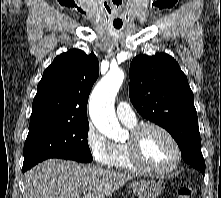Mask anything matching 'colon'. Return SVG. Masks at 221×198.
<instances>
[{
  "instance_id": "obj_1",
  "label": "colon",
  "mask_w": 221,
  "mask_h": 198,
  "mask_svg": "<svg viewBox=\"0 0 221 198\" xmlns=\"http://www.w3.org/2000/svg\"><path fill=\"white\" fill-rule=\"evenodd\" d=\"M177 198H191V190L186 187L179 189Z\"/></svg>"
}]
</instances>
